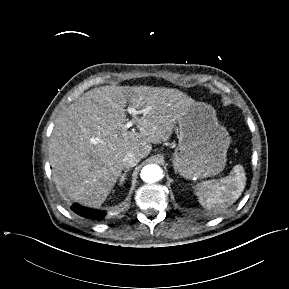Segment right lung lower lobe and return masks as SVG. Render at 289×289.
<instances>
[{"instance_id":"1","label":"right lung lower lobe","mask_w":289,"mask_h":289,"mask_svg":"<svg viewBox=\"0 0 289 289\" xmlns=\"http://www.w3.org/2000/svg\"><path fill=\"white\" fill-rule=\"evenodd\" d=\"M71 209L78 215L92 219V220H102L106 212L105 211H100V210H95V209H90L86 207H82L78 204H73Z\"/></svg>"}]
</instances>
